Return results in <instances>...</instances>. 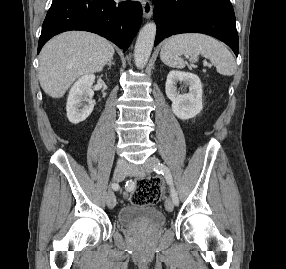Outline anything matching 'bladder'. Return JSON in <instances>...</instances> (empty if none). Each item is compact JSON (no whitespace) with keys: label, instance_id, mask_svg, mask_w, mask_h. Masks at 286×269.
<instances>
[{"label":"bladder","instance_id":"31cf9c89","mask_svg":"<svg viewBox=\"0 0 286 269\" xmlns=\"http://www.w3.org/2000/svg\"><path fill=\"white\" fill-rule=\"evenodd\" d=\"M117 221L128 229H160L165 226L166 217L157 208L132 203L119 209Z\"/></svg>","mask_w":286,"mask_h":269}]
</instances>
